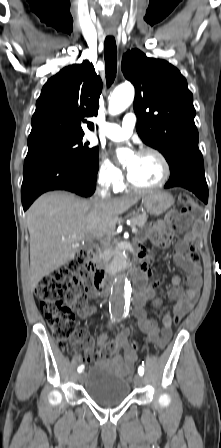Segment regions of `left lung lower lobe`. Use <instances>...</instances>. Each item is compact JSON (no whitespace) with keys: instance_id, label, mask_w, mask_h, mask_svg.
<instances>
[{"instance_id":"0a47b994","label":"left lung lower lobe","mask_w":221,"mask_h":448,"mask_svg":"<svg viewBox=\"0 0 221 448\" xmlns=\"http://www.w3.org/2000/svg\"><path fill=\"white\" fill-rule=\"evenodd\" d=\"M183 187L192 191L204 203L208 202V186L205 179L201 152L180 159L170 166V178L165 188Z\"/></svg>"}]
</instances>
